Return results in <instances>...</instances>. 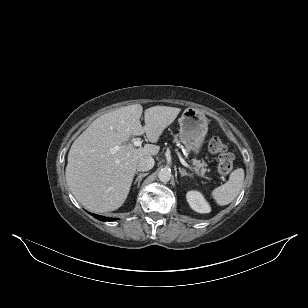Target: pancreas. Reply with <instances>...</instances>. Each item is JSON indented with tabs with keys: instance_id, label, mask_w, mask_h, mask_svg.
Here are the masks:
<instances>
[{
	"instance_id": "obj_1",
	"label": "pancreas",
	"mask_w": 308,
	"mask_h": 308,
	"mask_svg": "<svg viewBox=\"0 0 308 308\" xmlns=\"http://www.w3.org/2000/svg\"><path fill=\"white\" fill-rule=\"evenodd\" d=\"M174 142L179 143V140L177 139V137L174 138ZM192 165L194 166V168H196L198 170V171H196L197 173H199L201 176H204V173L206 172L205 167L207 166L205 161L193 159Z\"/></svg>"
}]
</instances>
